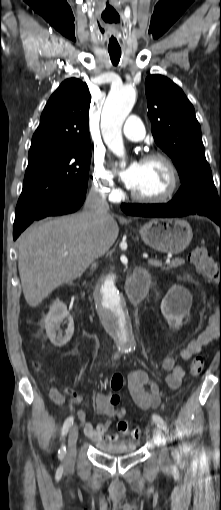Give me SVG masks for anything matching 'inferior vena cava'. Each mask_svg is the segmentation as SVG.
<instances>
[{
	"label": "inferior vena cava",
	"mask_w": 221,
	"mask_h": 510,
	"mask_svg": "<svg viewBox=\"0 0 221 510\" xmlns=\"http://www.w3.org/2000/svg\"><path fill=\"white\" fill-rule=\"evenodd\" d=\"M107 194L98 188H91L86 201L85 210L93 214L96 222L102 223L109 217V205L106 201ZM97 263L93 261L91 270L94 271Z\"/></svg>",
	"instance_id": "inferior-vena-cava-1"
}]
</instances>
